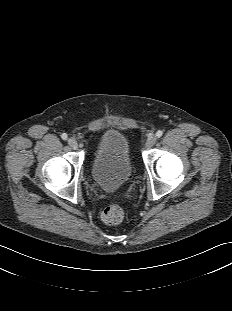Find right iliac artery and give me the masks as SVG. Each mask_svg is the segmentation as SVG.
<instances>
[{
	"mask_svg": "<svg viewBox=\"0 0 232 311\" xmlns=\"http://www.w3.org/2000/svg\"><path fill=\"white\" fill-rule=\"evenodd\" d=\"M61 138H62L63 140H67L68 136H67L66 133H63V134L61 135Z\"/></svg>",
	"mask_w": 232,
	"mask_h": 311,
	"instance_id": "1",
	"label": "right iliac artery"
}]
</instances>
